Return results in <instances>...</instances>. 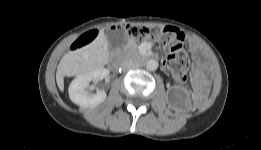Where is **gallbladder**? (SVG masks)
Here are the masks:
<instances>
[{
  "mask_svg": "<svg viewBox=\"0 0 261 150\" xmlns=\"http://www.w3.org/2000/svg\"><path fill=\"white\" fill-rule=\"evenodd\" d=\"M105 36L111 51L116 48L123 47L126 43L125 35L121 31L107 29L105 31Z\"/></svg>",
  "mask_w": 261,
  "mask_h": 150,
  "instance_id": "gallbladder-1",
  "label": "gallbladder"
}]
</instances>
